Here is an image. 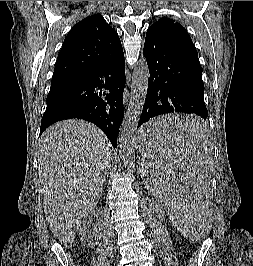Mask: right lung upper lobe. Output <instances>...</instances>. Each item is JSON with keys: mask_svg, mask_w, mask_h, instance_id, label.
Masks as SVG:
<instances>
[{"mask_svg": "<svg viewBox=\"0 0 253 266\" xmlns=\"http://www.w3.org/2000/svg\"><path fill=\"white\" fill-rule=\"evenodd\" d=\"M124 55L117 32L100 14L75 24L58 55L51 86L97 70Z\"/></svg>", "mask_w": 253, "mask_h": 266, "instance_id": "cb5924a9", "label": "right lung upper lobe"}]
</instances>
